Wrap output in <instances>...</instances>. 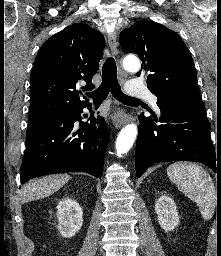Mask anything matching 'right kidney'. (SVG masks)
<instances>
[{
  "label": "right kidney",
  "mask_w": 221,
  "mask_h": 256,
  "mask_svg": "<svg viewBox=\"0 0 221 256\" xmlns=\"http://www.w3.org/2000/svg\"><path fill=\"white\" fill-rule=\"evenodd\" d=\"M82 209L75 200L64 198L57 205L58 230L62 237H73L82 227Z\"/></svg>",
  "instance_id": "obj_1"
}]
</instances>
